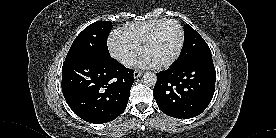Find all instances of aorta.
Returning a JSON list of instances; mask_svg holds the SVG:
<instances>
[{
	"label": "aorta",
	"instance_id": "762f6f07",
	"mask_svg": "<svg viewBox=\"0 0 276 138\" xmlns=\"http://www.w3.org/2000/svg\"><path fill=\"white\" fill-rule=\"evenodd\" d=\"M143 82L148 86H153L157 82V76L153 72H146L143 75Z\"/></svg>",
	"mask_w": 276,
	"mask_h": 138
}]
</instances>
